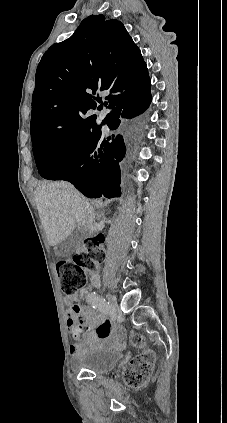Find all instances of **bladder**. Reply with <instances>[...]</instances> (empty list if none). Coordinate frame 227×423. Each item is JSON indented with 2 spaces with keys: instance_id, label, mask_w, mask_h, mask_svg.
<instances>
[{
  "instance_id": "1",
  "label": "bladder",
  "mask_w": 227,
  "mask_h": 423,
  "mask_svg": "<svg viewBox=\"0 0 227 423\" xmlns=\"http://www.w3.org/2000/svg\"><path fill=\"white\" fill-rule=\"evenodd\" d=\"M121 361V354L114 349H96L77 358L76 367L95 375H108Z\"/></svg>"
}]
</instances>
